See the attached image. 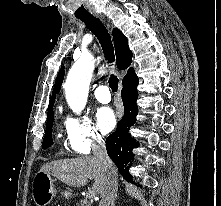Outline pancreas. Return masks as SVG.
Segmentation results:
<instances>
[{
  "instance_id": "pancreas-1",
  "label": "pancreas",
  "mask_w": 221,
  "mask_h": 206,
  "mask_svg": "<svg viewBox=\"0 0 221 206\" xmlns=\"http://www.w3.org/2000/svg\"><path fill=\"white\" fill-rule=\"evenodd\" d=\"M78 206H91V204L86 199H82L78 203Z\"/></svg>"
}]
</instances>
